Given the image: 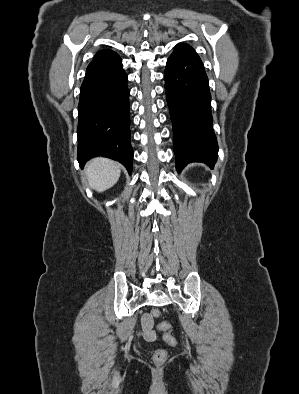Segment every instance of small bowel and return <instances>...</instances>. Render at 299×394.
<instances>
[{
	"label": "small bowel",
	"mask_w": 299,
	"mask_h": 394,
	"mask_svg": "<svg viewBox=\"0 0 299 394\" xmlns=\"http://www.w3.org/2000/svg\"><path fill=\"white\" fill-rule=\"evenodd\" d=\"M153 325L154 321L152 316L149 314H145L142 317V330L140 334L148 342H153L158 338L157 333L153 330Z\"/></svg>",
	"instance_id": "small-bowel-1"
}]
</instances>
